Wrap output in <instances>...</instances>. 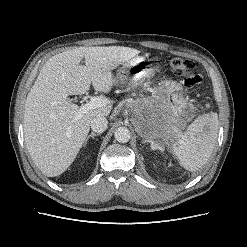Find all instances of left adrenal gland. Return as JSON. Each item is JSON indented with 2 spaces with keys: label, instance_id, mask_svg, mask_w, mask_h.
<instances>
[{
  "label": "left adrenal gland",
  "instance_id": "obj_1",
  "mask_svg": "<svg viewBox=\"0 0 247 247\" xmlns=\"http://www.w3.org/2000/svg\"><path fill=\"white\" fill-rule=\"evenodd\" d=\"M145 142H149L151 144L152 150H156V149L161 150L162 149V147L159 145V143H156L153 140H145Z\"/></svg>",
  "mask_w": 247,
  "mask_h": 247
}]
</instances>
